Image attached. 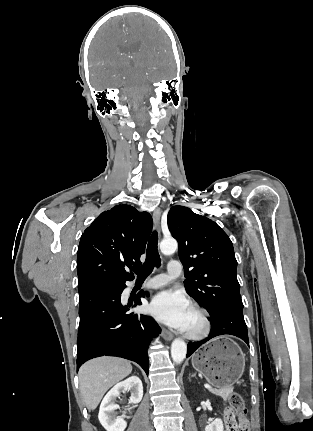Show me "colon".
I'll return each instance as SVG.
<instances>
[{"label":"colon","instance_id":"colon-1","mask_svg":"<svg viewBox=\"0 0 313 431\" xmlns=\"http://www.w3.org/2000/svg\"><path fill=\"white\" fill-rule=\"evenodd\" d=\"M228 402L229 406L225 412L227 431H248L247 409L242 396L232 393Z\"/></svg>","mask_w":313,"mask_h":431}]
</instances>
